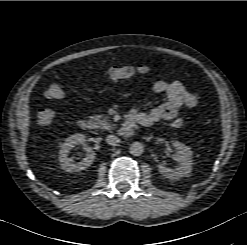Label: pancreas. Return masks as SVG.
Listing matches in <instances>:
<instances>
[{"mask_svg":"<svg viewBox=\"0 0 247 245\" xmlns=\"http://www.w3.org/2000/svg\"><path fill=\"white\" fill-rule=\"evenodd\" d=\"M90 119L93 121L95 128H100L102 130H112L115 127L109 117L102 114L91 116Z\"/></svg>","mask_w":247,"mask_h":245,"instance_id":"pancreas-1","label":"pancreas"}]
</instances>
